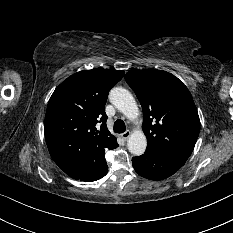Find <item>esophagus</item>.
I'll list each match as a JSON object with an SVG mask.
<instances>
[{"label": "esophagus", "mask_w": 233, "mask_h": 233, "mask_svg": "<svg viewBox=\"0 0 233 233\" xmlns=\"http://www.w3.org/2000/svg\"><path fill=\"white\" fill-rule=\"evenodd\" d=\"M131 135V131L127 130L124 133L121 134L122 139L127 140Z\"/></svg>", "instance_id": "1"}]
</instances>
